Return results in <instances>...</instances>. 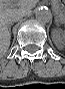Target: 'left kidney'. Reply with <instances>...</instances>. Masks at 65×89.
I'll use <instances>...</instances> for the list:
<instances>
[{
    "instance_id": "1",
    "label": "left kidney",
    "mask_w": 65,
    "mask_h": 89,
    "mask_svg": "<svg viewBox=\"0 0 65 89\" xmlns=\"http://www.w3.org/2000/svg\"><path fill=\"white\" fill-rule=\"evenodd\" d=\"M53 42L59 50H63L65 48V32L58 30L57 35L53 37Z\"/></svg>"
}]
</instances>
